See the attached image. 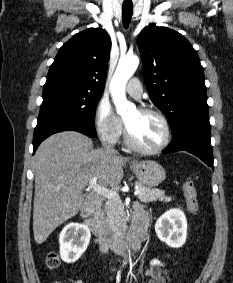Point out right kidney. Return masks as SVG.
Wrapping results in <instances>:
<instances>
[{"instance_id":"1","label":"right kidney","mask_w":233,"mask_h":283,"mask_svg":"<svg viewBox=\"0 0 233 283\" xmlns=\"http://www.w3.org/2000/svg\"><path fill=\"white\" fill-rule=\"evenodd\" d=\"M91 238L89 228L84 224L70 223L60 233V256L66 263H74L85 252Z\"/></svg>"}]
</instances>
